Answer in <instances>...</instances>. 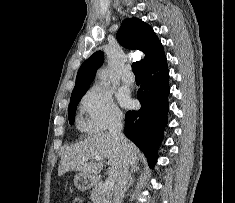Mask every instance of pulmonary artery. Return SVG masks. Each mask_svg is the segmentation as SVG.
<instances>
[{
	"mask_svg": "<svg viewBox=\"0 0 235 203\" xmlns=\"http://www.w3.org/2000/svg\"><path fill=\"white\" fill-rule=\"evenodd\" d=\"M121 79L126 84H132L134 83V75L131 72V67L126 66L121 74Z\"/></svg>",
	"mask_w": 235,
	"mask_h": 203,
	"instance_id": "1",
	"label": "pulmonary artery"
}]
</instances>
